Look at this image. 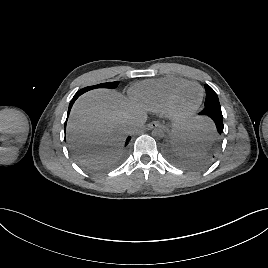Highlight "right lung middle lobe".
Here are the masks:
<instances>
[{"mask_svg": "<svg viewBox=\"0 0 268 268\" xmlns=\"http://www.w3.org/2000/svg\"><path fill=\"white\" fill-rule=\"evenodd\" d=\"M119 84V81H115V82H107V83H101V84H98V85H94V86H89V87H85L83 89H81L80 91L82 92L81 94L89 91V90H92V89H95V88H109V89H115Z\"/></svg>", "mask_w": 268, "mask_h": 268, "instance_id": "dd1d6c3e", "label": "right lung middle lobe"}]
</instances>
